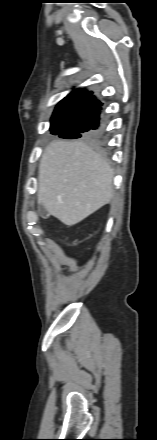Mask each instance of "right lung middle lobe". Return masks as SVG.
Segmentation results:
<instances>
[{"label": "right lung middle lobe", "mask_w": 157, "mask_h": 440, "mask_svg": "<svg viewBox=\"0 0 157 440\" xmlns=\"http://www.w3.org/2000/svg\"><path fill=\"white\" fill-rule=\"evenodd\" d=\"M51 132L60 138L76 139L82 136L93 138L94 132L91 127H83L76 120L51 121Z\"/></svg>", "instance_id": "1"}]
</instances>
